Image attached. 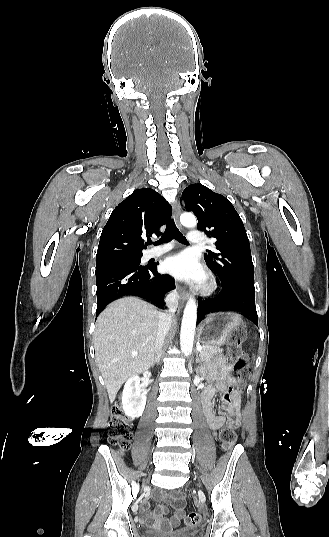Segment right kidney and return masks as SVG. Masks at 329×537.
Here are the masks:
<instances>
[{"label": "right kidney", "instance_id": "right-kidney-1", "mask_svg": "<svg viewBox=\"0 0 329 537\" xmlns=\"http://www.w3.org/2000/svg\"><path fill=\"white\" fill-rule=\"evenodd\" d=\"M145 379L151 376V372L143 373ZM140 377L137 375L131 376L125 383L122 393V408L130 418H138L142 416L146 405V395L142 393L140 388Z\"/></svg>", "mask_w": 329, "mask_h": 537}]
</instances>
